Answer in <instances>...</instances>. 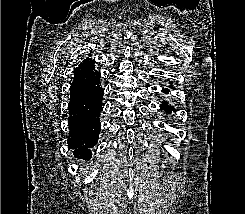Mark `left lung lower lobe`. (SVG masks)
I'll list each match as a JSON object with an SVG mask.
<instances>
[{
    "label": "left lung lower lobe",
    "instance_id": "left-lung-lower-lobe-1",
    "mask_svg": "<svg viewBox=\"0 0 245 214\" xmlns=\"http://www.w3.org/2000/svg\"><path fill=\"white\" fill-rule=\"evenodd\" d=\"M163 92H166L167 93L169 91H168V89H165V90H163ZM160 108L162 110H164L167 114L172 113V111L175 112V109L171 105H167V103H162L161 106H160Z\"/></svg>",
    "mask_w": 245,
    "mask_h": 214
}]
</instances>
